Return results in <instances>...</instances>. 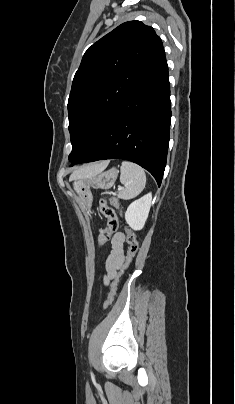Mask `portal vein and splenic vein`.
<instances>
[{"mask_svg": "<svg viewBox=\"0 0 235 404\" xmlns=\"http://www.w3.org/2000/svg\"><path fill=\"white\" fill-rule=\"evenodd\" d=\"M122 189H123V187H119V188H118L119 191L122 190Z\"/></svg>", "mask_w": 235, "mask_h": 404, "instance_id": "18ae733b", "label": "portal vein and splenic vein"}]
</instances>
